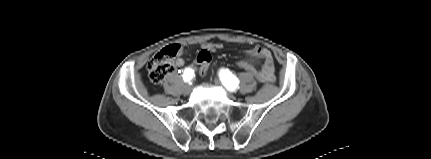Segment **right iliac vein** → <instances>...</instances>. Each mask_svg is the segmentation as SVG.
I'll return each mask as SVG.
<instances>
[{"mask_svg":"<svg viewBox=\"0 0 431 159\" xmlns=\"http://www.w3.org/2000/svg\"><path fill=\"white\" fill-rule=\"evenodd\" d=\"M191 90H192L191 85L190 84H186L183 87V93H184V95H189L191 93Z\"/></svg>","mask_w":431,"mask_h":159,"instance_id":"obj_1","label":"right iliac vein"}]
</instances>
